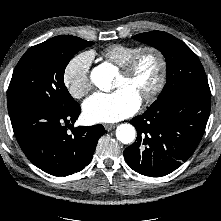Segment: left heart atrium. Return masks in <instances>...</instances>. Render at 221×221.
Masks as SVG:
<instances>
[{
	"instance_id": "1",
	"label": "left heart atrium",
	"mask_w": 221,
	"mask_h": 221,
	"mask_svg": "<svg viewBox=\"0 0 221 221\" xmlns=\"http://www.w3.org/2000/svg\"><path fill=\"white\" fill-rule=\"evenodd\" d=\"M140 98L127 87L113 92H96L83 103L84 117L93 123H112L137 111Z\"/></svg>"
}]
</instances>
